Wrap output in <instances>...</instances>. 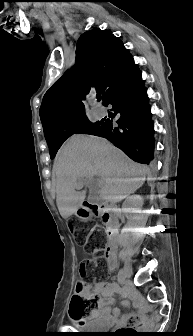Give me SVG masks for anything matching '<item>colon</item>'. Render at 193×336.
<instances>
[{
  "label": "colon",
  "mask_w": 193,
  "mask_h": 336,
  "mask_svg": "<svg viewBox=\"0 0 193 336\" xmlns=\"http://www.w3.org/2000/svg\"><path fill=\"white\" fill-rule=\"evenodd\" d=\"M90 229L93 225L89 226ZM69 229L74 231L75 224L70 223ZM76 242L83 245L87 252L98 253L102 249V245L97 240L95 234H77ZM91 260H83L80 264V275L81 280L77 284L76 293L72 296L70 302V315L76 321H82L90 318L94 312L99 308L100 298L98 295L93 293H85L84 291L88 287V281L86 277L88 276L89 267L91 266Z\"/></svg>",
  "instance_id": "1"
}]
</instances>
